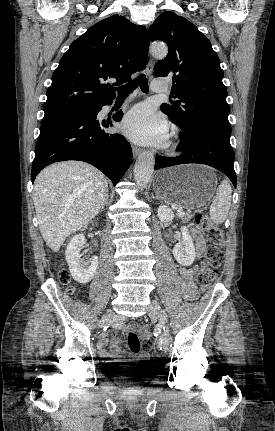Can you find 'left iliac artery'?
Masks as SVG:
<instances>
[{
    "label": "left iliac artery",
    "mask_w": 275,
    "mask_h": 431,
    "mask_svg": "<svg viewBox=\"0 0 275 431\" xmlns=\"http://www.w3.org/2000/svg\"><path fill=\"white\" fill-rule=\"evenodd\" d=\"M163 317H164V319H166L167 318L166 314H164ZM162 343H163V339L161 337L160 340H159V342H158V348L162 349Z\"/></svg>",
    "instance_id": "1"
}]
</instances>
